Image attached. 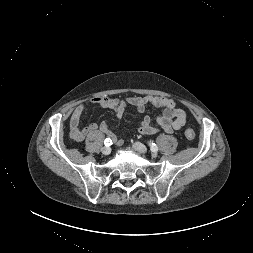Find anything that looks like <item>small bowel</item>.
<instances>
[{"label": "small bowel", "instance_id": "1", "mask_svg": "<svg viewBox=\"0 0 253 253\" xmlns=\"http://www.w3.org/2000/svg\"><path fill=\"white\" fill-rule=\"evenodd\" d=\"M90 104L112 109L118 118L123 116L127 105L135 107L139 113H144L147 105L162 109V113L157 117V126L151 125V118L149 116L143 118L138 128V132L141 135H155L161 131L172 133L175 130H181L186 123L185 112L182 109L177 108L173 100L164 97L132 96L125 99H117L101 96L92 98ZM84 110L85 104L81 103L76 106L72 112L69 122V135L73 141L81 142L90 133L99 129L102 133L114 139L117 144H121V141L116 139L106 122H101L99 125L91 123L87 126L81 127L80 119Z\"/></svg>", "mask_w": 253, "mask_h": 253}]
</instances>
